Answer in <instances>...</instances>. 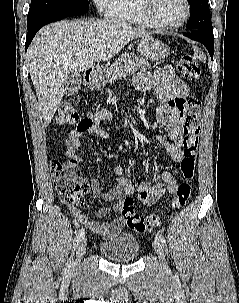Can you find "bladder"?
I'll list each match as a JSON object with an SVG mask.
<instances>
[{"label": "bladder", "instance_id": "obj_1", "mask_svg": "<svg viewBox=\"0 0 239 303\" xmlns=\"http://www.w3.org/2000/svg\"><path fill=\"white\" fill-rule=\"evenodd\" d=\"M100 250L110 261L129 263L138 259L140 243L132 234L119 233L116 237L101 243Z\"/></svg>", "mask_w": 239, "mask_h": 303}]
</instances>
